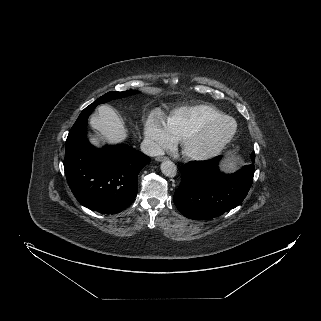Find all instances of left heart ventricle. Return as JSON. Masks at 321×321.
<instances>
[{
  "instance_id": "left-heart-ventricle-1",
  "label": "left heart ventricle",
  "mask_w": 321,
  "mask_h": 321,
  "mask_svg": "<svg viewBox=\"0 0 321 321\" xmlns=\"http://www.w3.org/2000/svg\"><path fill=\"white\" fill-rule=\"evenodd\" d=\"M230 127L231 125L228 122L220 123L212 127L193 143V148L203 150L212 147L227 134Z\"/></svg>"
}]
</instances>
